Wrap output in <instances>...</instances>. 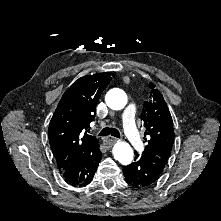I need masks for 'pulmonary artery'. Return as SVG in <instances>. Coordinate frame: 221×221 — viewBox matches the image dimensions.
Wrapping results in <instances>:
<instances>
[{
	"mask_svg": "<svg viewBox=\"0 0 221 221\" xmlns=\"http://www.w3.org/2000/svg\"><path fill=\"white\" fill-rule=\"evenodd\" d=\"M135 105L129 104L122 113L124 133L130 143L137 149H143L142 140L137 132L134 120Z\"/></svg>",
	"mask_w": 221,
	"mask_h": 221,
	"instance_id": "1",
	"label": "pulmonary artery"
}]
</instances>
